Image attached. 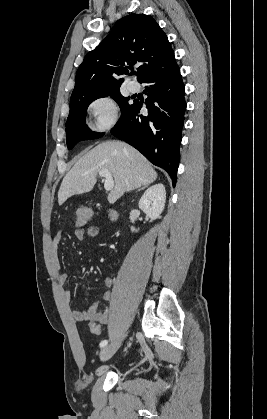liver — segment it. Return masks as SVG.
I'll use <instances>...</instances> for the list:
<instances>
[{
    "instance_id": "6515ba94",
    "label": "liver",
    "mask_w": 267,
    "mask_h": 419,
    "mask_svg": "<svg viewBox=\"0 0 267 419\" xmlns=\"http://www.w3.org/2000/svg\"><path fill=\"white\" fill-rule=\"evenodd\" d=\"M101 169H107L114 178V187L108 195L112 204L125 192L148 186L157 178L148 160L132 146L119 141L102 142L82 156L65 175L58 192L59 205L73 195L91 191Z\"/></svg>"
}]
</instances>
